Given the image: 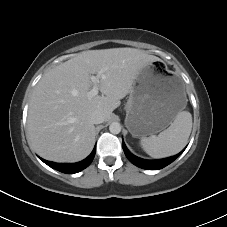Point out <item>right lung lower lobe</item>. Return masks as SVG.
I'll list each match as a JSON object with an SVG mask.
<instances>
[{
    "mask_svg": "<svg viewBox=\"0 0 227 227\" xmlns=\"http://www.w3.org/2000/svg\"><path fill=\"white\" fill-rule=\"evenodd\" d=\"M95 153H96V147H94L92 153L86 159H84L81 162H77V163H73V164H67V163L60 164V163L50 162V161L44 160L42 158H40V159L45 164L52 167L53 169H56L60 172L66 173V174H73V173L80 172L81 170L88 167L91 164V162L93 161Z\"/></svg>",
    "mask_w": 227,
    "mask_h": 227,
    "instance_id": "right-lung-lower-lobe-1",
    "label": "right lung lower lobe"
}]
</instances>
